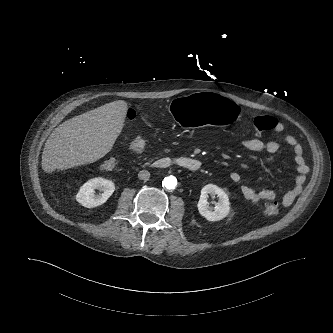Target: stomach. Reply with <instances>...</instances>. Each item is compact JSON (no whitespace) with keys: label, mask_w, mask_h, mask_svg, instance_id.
Listing matches in <instances>:
<instances>
[{"label":"stomach","mask_w":333,"mask_h":333,"mask_svg":"<svg viewBox=\"0 0 333 333\" xmlns=\"http://www.w3.org/2000/svg\"><path fill=\"white\" fill-rule=\"evenodd\" d=\"M170 112L185 127L217 125L230 129L239 124L243 109L238 100L224 93L197 92L177 97L170 104Z\"/></svg>","instance_id":"0dacf381"}]
</instances>
